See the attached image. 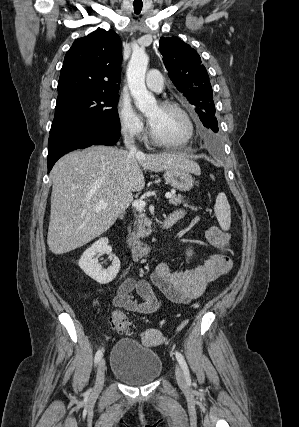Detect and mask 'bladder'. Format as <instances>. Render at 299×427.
Listing matches in <instances>:
<instances>
[{
  "mask_svg": "<svg viewBox=\"0 0 299 427\" xmlns=\"http://www.w3.org/2000/svg\"><path fill=\"white\" fill-rule=\"evenodd\" d=\"M162 371V361L153 350L133 339L117 341L111 351V372L131 385L155 380Z\"/></svg>",
  "mask_w": 299,
  "mask_h": 427,
  "instance_id": "obj_1",
  "label": "bladder"
}]
</instances>
